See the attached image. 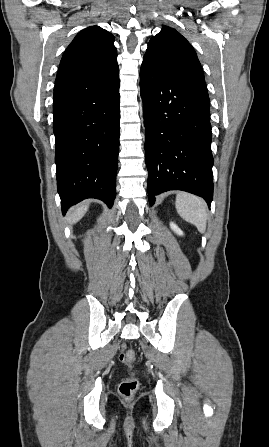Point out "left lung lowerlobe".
<instances>
[{"label": "left lung lower lobe", "mask_w": 269, "mask_h": 447, "mask_svg": "<svg viewBox=\"0 0 269 447\" xmlns=\"http://www.w3.org/2000/svg\"><path fill=\"white\" fill-rule=\"evenodd\" d=\"M148 199L168 190L213 198L210 103L206 85L147 58L140 70Z\"/></svg>", "instance_id": "0a47b994"}]
</instances>
